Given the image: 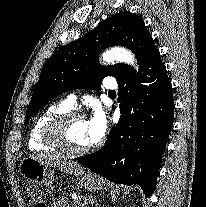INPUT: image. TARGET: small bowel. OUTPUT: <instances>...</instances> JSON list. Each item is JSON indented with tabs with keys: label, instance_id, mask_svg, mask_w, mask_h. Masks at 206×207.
Here are the masks:
<instances>
[{
	"label": "small bowel",
	"instance_id": "1",
	"mask_svg": "<svg viewBox=\"0 0 206 207\" xmlns=\"http://www.w3.org/2000/svg\"><path fill=\"white\" fill-rule=\"evenodd\" d=\"M53 207H66V201L65 200L57 201L53 204Z\"/></svg>",
	"mask_w": 206,
	"mask_h": 207
}]
</instances>
